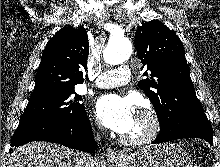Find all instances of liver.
<instances>
[{"label":"liver","mask_w":220,"mask_h":167,"mask_svg":"<svg viewBox=\"0 0 220 167\" xmlns=\"http://www.w3.org/2000/svg\"><path fill=\"white\" fill-rule=\"evenodd\" d=\"M79 154L58 144L31 142L14 149L6 167H77ZM101 164L95 159L94 167H101Z\"/></svg>","instance_id":"6515ba94"}]
</instances>
